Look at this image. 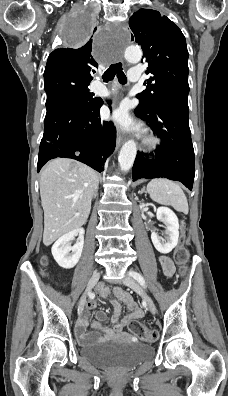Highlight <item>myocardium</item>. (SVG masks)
<instances>
[{
	"mask_svg": "<svg viewBox=\"0 0 228 396\" xmlns=\"http://www.w3.org/2000/svg\"><path fill=\"white\" fill-rule=\"evenodd\" d=\"M158 144H159L158 138H156L153 135H149L144 140V145L149 150H153V149L157 148Z\"/></svg>",
	"mask_w": 228,
	"mask_h": 396,
	"instance_id": "myocardium-1",
	"label": "myocardium"
}]
</instances>
